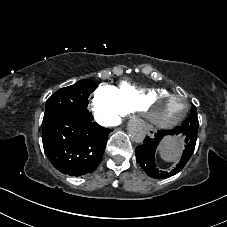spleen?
Segmentation results:
<instances>
[{"label": "spleen", "mask_w": 227, "mask_h": 227, "mask_svg": "<svg viewBox=\"0 0 227 227\" xmlns=\"http://www.w3.org/2000/svg\"><path fill=\"white\" fill-rule=\"evenodd\" d=\"M183 140L177 137L166 136L158 149L161 158L167 162H177L182 150Z\"/></svg>", "instance_id": "3e777b00"}]
</instances>
